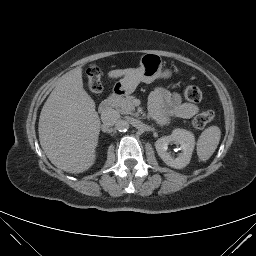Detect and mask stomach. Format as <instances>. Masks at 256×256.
I'll use <instances>...</instances> for the list:
<instances>
[{"label":"stomach","instance_id":"1","mask_svg":"<svg viewBox=\"0 0 256 256\" xmlns=\"http://www.w3.org/2000/svg\"><path fill=\"white\" fill-rule=\"evenodd\" d=\"M170 69H163L161 58L153 53H146L140 59V67L124 75L114 85L118 95H128L135 91L140 82L151 83L157 78L169 79Z\"/></svg>","mask_w":256,"mask_h":256}]
</instances>
